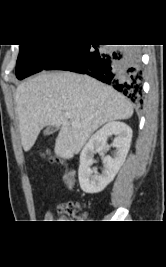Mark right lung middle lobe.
<instances>
[{
  "mask_svg": "<svg viewBox=\"0 0 166 267\" xmlns=\"http://www.w3.org/2000/svg\"><path fill=\"white\" fill-rule=\"evenodd\" d=\"M64 45H20L16 65V76L24 79L40 72L64 48Z\"/></svg>",
  "mask_w": 166,
  "mask_h": 267,
  "instance_id": "right-lung-middle-lobe-1",
  "label": "right lung middle lobe"
}]
</instances>
